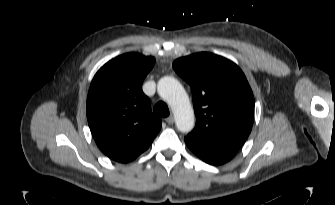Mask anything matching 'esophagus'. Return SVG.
<instances>
[{"label": "esophagus", "mask_w": 335, "mask_h": 205, "mask_svg": "<svg viewBox=\"0 0 335 205\" xmlns=\"http://www.w3.org/2000/svg\"><path fill=\"white\" fill-rule=\"evenodd\" d=\"M166 123L171 125L174 123V117L173 116H169L165 119Z\"/></svg>", "instance_id": "obj_1"}]
</instances>
